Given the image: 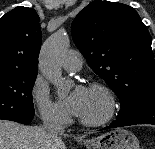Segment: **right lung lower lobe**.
Instances as JSON below:
<instances>
[{"instance_id":"98d812e1","label":"right lung lower lobe","mask_w":155,"mask_h":149,"mask_svg":"<svg viewBox=\"0 0 155 149\" xmlns=\"http://www.w3.org/2000/svg\"><path fill=\"white\" fill-rule=\"evenodd\" d=\"M32 119L29 122H24L23 124L28 125L29 123H31Z\"/></svg>"}]
</instances>
